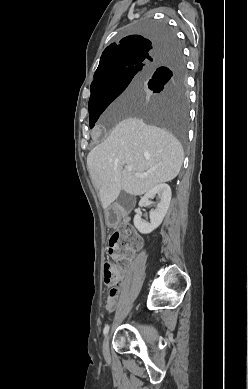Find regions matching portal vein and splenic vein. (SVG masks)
Masks as SVG:
<instances>
[{"mask_svg":"<svg viewBox=\"0 0 248 389\" xmlns=\"http://www.w3.org/2000/svg\"><path fill=\"white\" fill-rule=\"evenodd\" d=\"M125 169H126L127 171H132V166H131V165H127V166L125 167ZM135 176H136V177H144V176H146V174L135 173Z\"/></svg>","mask_w":248,"mask_h":389,"instance_id":"1","label":"portal vein and splenic vein"}]
</instances>
